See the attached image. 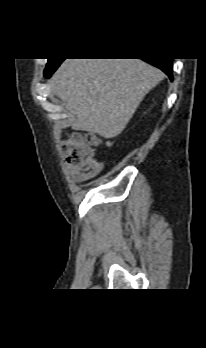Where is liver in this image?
<instances>
[{
	"label": "liver",
	"mask_w": 206,
	"mask_h": 348,
	"mask_svg": "<svg viewBox=\"0 0 206 348\" xmlns=\"http://www.w3.org/2000/svg\"><path fill=\"white\" fill-rule=\"evenodd\" d=\"M164 74L141 59H66L51 78L73 128L119 135Z\"/></svg>",
	"instance_id": "1"
}]
</instances>
